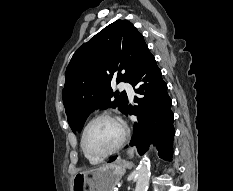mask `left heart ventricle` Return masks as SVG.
I'll return each instance as SVG.
<instances>
[{
    "label": "left heart ventricle",
    "instance_id": "b2bd125f",
    "mask_svg": "<svg viewBox=\"0 0 233 191\" xmlns=\"http://www.w3.org/2000/svg\"><path fill=\"white\" fill-rule=\"evenodd\" d=\"M121 134L119 123L109 119L97 120L87 131L86 147L92 154H103L119 141Z\"/></svg>",
    "mask_w": 233,
    "mask_h": 191
}]
</instances>
